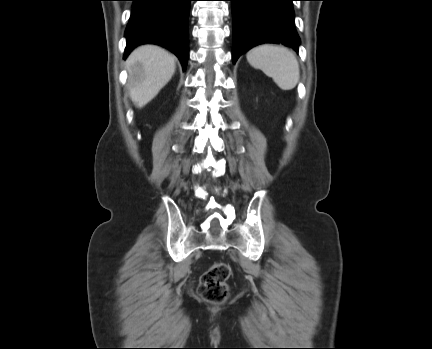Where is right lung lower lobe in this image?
Instances as JSON below:
<instances>
[{
	"label": "right lung lower lobe",
	"instance_id": "right-lung-lower-lobe-1",
	"mask_svg": "<svg viewBox=\"0 0 432 349\" xmlns=\"http://www.w3.org/2000/svg\"><path fill=\"white\" fill-rule=\"evenodd\" d=\"M133 11L125 31L124 59L138 45L153 43L172 51L183 70L188 59V15L191 0H131Z\"/></svg>",
	"mask_w": 432,
	"mask_h": 349
}]
</instances>
